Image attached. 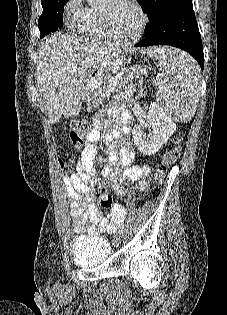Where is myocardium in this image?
Masks as SVG:
<instances>
[{
    "label": "myocardium",
    "instance_id": "myocardium-1",
    "mask_svg": "<svg viewBox=\"0 0 227 315\" xmlns=\"http://www.w3.org/2000/svg\"><path fill=\"white\" fill-rule=\"evenodd\" d=\"M124 1L129 3L135 9V11L140 17V25L136 33L130 37H124L117 34L112 27L108 14L105 11L101 10L103 25L108 35L111 38L119 40V41H123V42H135L143 35L146 29L147 23H148V17L145 11L142 9V7L136 2V0H124Z\"/></svg>",
    "mask_w": 227,
    "mask_h": 315
}]
</instances>
